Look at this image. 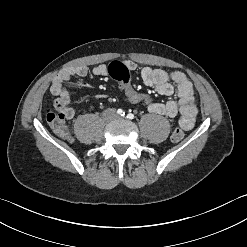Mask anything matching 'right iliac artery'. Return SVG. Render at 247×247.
Segmentation results:
<instances>
[{"label": "right iliac artery", "mask_w": 247, "mask_h": 247, "mask_svg": "<svg viewBox=\"0 0 247 247\" xmlns=\"http://www.w3.org/2000/svg\"><path fill=\"white\" fill-rule=\"evenodd\" d=\"M117 114L120 115V116H124L125 112L122 109H118L117 110Z\"/></svg>", "instance_id": "1"}]
</instances>
